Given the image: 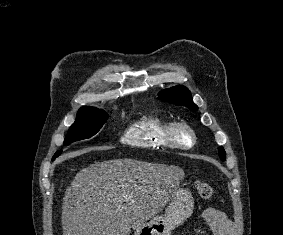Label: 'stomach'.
<instances>
[{
	"label": "stomach",
	"instance_id": "0dacf381",
	"mask_svg": "<svg viewBox=\"0 0 283 235\" xmlns=\"http://www.w3.org/2000/svg\"><path fill=\"white\" fill-rule=\"evenodd\" d=\"M194 200L183 188H173L165 213L133 229L134 235H171V232L192 214Z\"/></svg>",
	"mask_w": 283,
	"mask_h": 235
}]
</instances>
